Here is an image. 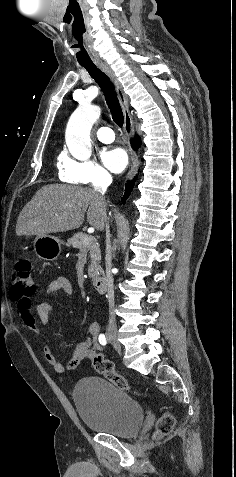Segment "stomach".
<instances>
[{
	"label": "stomach",
	"mask_w": 236,
	"mask_h": 477,
	"mask_svg": "<svg viewBox=\"0 0 236 477\" xmlns=\"http://www.w3.org/2000/svg\"><path fill=\"white\" fill-rule=\"evenodd\" d=\"M30 238H32V235H25V239L27 241ZM62 245V241L54 236L43 235L36 236L33 239V246L36 255L39 258L47 261H53L59 257L62 250Z\"/></svg>",
	"instance_id": "stomach-1"
}]
</instances>
